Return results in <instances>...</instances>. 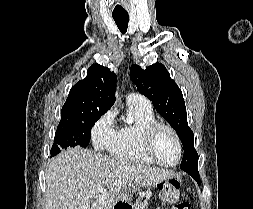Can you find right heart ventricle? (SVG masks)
Segmentation results:
<instances>
[{
	"label": "right heart ventricle",
	"mask_w": 253,
	"mask_h": 209,
	"mask_svg": "<svg viewBox=\"0 0 253 209\" xmlns=\"http://www.w3.org/2000/svg\"><path fill=\"white\" fill-rule=\"evenodd\" d=\"M128 112L133 121L117 131V138L111 152L122 160L151 164L152 161L143 154L141 138L143 129L156 121L152 106L150 103L128 102Z\"/></svg>",
	"instance_id": "1"
}]
</instances>
